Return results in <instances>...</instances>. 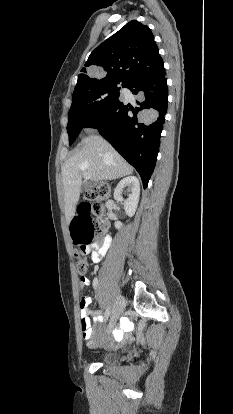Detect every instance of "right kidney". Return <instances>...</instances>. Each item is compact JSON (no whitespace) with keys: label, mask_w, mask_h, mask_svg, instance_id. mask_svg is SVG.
Here are the masks:
<instances>
[{"label":"right kidney","mask_w":233,"mask_h":414,"mask_svg":"<svg viewBox=\"0 0 233 414\" xmlns=\"http://www.w3.org/2000/svg\"><path fill=\"white\" fill-rule=\"evenodd\" d=\"M128 187L131 191V194H129V197L124 201L122 197V191ZM139 196H140V184L139 180L135 176H128L126 178H123L118 185L116 186L114 190V199L117 202H123V206L125 209L126 214L129 217H132L137 209L138 202H139ZM122 227V223L119 221L115 222V228L120 229Z\"/></svg>","instance_id":"ca27d5eb"}]
</instances>
